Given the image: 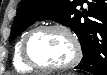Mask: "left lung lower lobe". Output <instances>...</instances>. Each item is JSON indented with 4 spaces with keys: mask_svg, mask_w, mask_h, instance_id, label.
<instances>
[{
    "mask_svg": "<svg viewBox=\"0 0 107 75\" xmlns=\"http://www.w3.org/2000/svg\"><path fill=\"white\" fill-rule=\"evenodd\" d=\"M84 2L89 6L87 12L93 14L94 17H92L87 30L82 35L80 43L83 58L75 68L94 75H107V39H98L95 34L96 26L104 19H107V1L84 0Z\"/></svg>",
    "mask_w": 107,
    "mask_h": 75,
    "instance_id": "left-lung-lower-lobe-1",
    "label": "left lung lower lobe"
}]
</instances>
